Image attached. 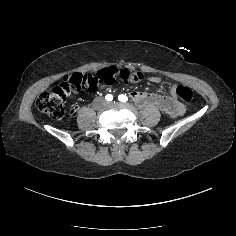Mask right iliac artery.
I'll return each instance as SVG.
<instances>
[{
	"label": "right iliac artery",
	"instance_id": "82829eb1",
	"mask_svg": "<svg viewBox=\"0 0 236 236\" xmlns=\"http://www.w3.org/2000/svg\"><path fill=\"white\" fill-rule=\"evenodd\" d=\"M105 99H106L107 101H112V100H113V96H112L111 94H107V95L105 96Z\"/></svg>",
	"mask_w": 236,
	"mask_h": 236
}]
</instances>
